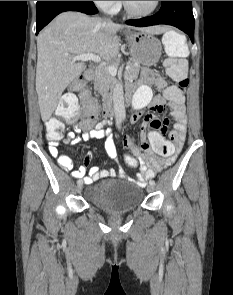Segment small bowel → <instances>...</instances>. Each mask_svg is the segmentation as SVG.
<instances>
[{
    "label": "small bowel",
    "mask_w": 233,
    "mask_h": 295,
    "mask_svg": "<svg viewBox=\"0 0 233 295\" xmlns=\"http://www.w3.org/2000/svg\"><path fill=\"white\" fill-rule=\"evenodd\" d=\"M142 80L143 84L138 87L133 100L134 110L131 115L132 123L142 120L138 132L139 145H135L130 136H125L123 140L124 146L139 157L140 171L136 183L140 186H144L158 171L169 167L174 162L176 153L183 147L186 137V114L183 94L171 96L168 92V87L164 85L158 74L152 70L144 69L142 72ZM148 84H156L160 94L153 96L152 90ZM80 99L84 116L79 124L75 126L74 130L67 134L64 142L78 145L82 141H88L92 138H105L104 146L109 158L117 160V149L112 137V132L109 129V126L112 124L111 121L104 119L95 122V119L89 120L85 118L89 110L93 108L96 109V101L89 92L81 95ZM167 107L171 110V116L174 119L173 130L169 133L170 141L174 145V151L169 156L156 157L150 153V146L146 141V130L148 127H151L155 131L166 133L170 121L167 118L161 121L153 114H145V110L149 109L153 112L162 113ZM48 149L50 154L57 159L58 164L63 169L71 170L73 168L72 159L67 155L59 154L58 143L56 141H50ZM92 157V152L86 153L83 157L82 166H80L77 171L72 172V175L76 178L84 177V182L86 184H91L101 178L116 176L131 180V178L124 173L122 168H119L118 172H116L114 169H100L97 166H93L89 169L88 175L85 176Z\"/></svg>",
    "instance_id": "small-bowel-1"
}]
</instances>
